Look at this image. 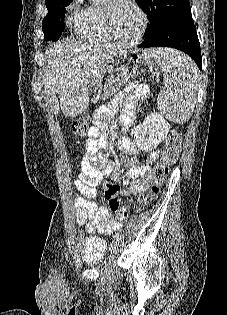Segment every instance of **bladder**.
I'll return each instance as SVG.
<instances>
[{
	"mask_svg": "<svg viewBox=\"0 0 227 315\" xmlns=\"http://www.w3.org/2000/svg\"><path fill=\"white\" fill-rule=\"evenodd\" d=\"M106 242L98 237L87 238L83 245V261L93 265L102 261L106 255Z\"/></svg>",
	"mask_w": 227,
	"mask_h": 315,
	"instance_id": "bladder-1",
	"label": "bladder"
}]
</instances>
